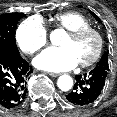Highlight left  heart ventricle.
<instances>
[{
  "instance_id": "obj_1",
  "label": "left heart ventricle",
  "mask_w": 117,
  "mask_h": 117,
  "mask_svg": "<svg viewBox=\"0 0 117 117\" xmlns=\"http://www.w3.org/2000/svg\"><path fill=\"white\" fill-rule=\"evenodd\" d=\"M61 46L71 48L78 62H80L92 56L97 46V40L92 34H88L80 39H73L67 35L63 39Z\"/></svg>"
}]
</instances>
